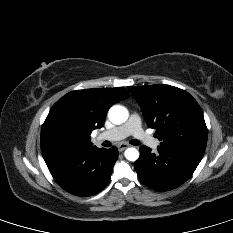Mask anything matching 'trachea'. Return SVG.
I'll list each match as a JSON object with an SVG mask.
<instances>
[{
  "label": "trachea",
  "instance_id": "trachea-1",
  "mask_svg": "<svg viewBox=\"0 0 233 233\" xmlns=\"http://www.w3.org/2000/svg\"><path fill=\"white\" fill-rule=\"evenodd\" d=\"M105 143H106L105 144L106 146H110L111 145L110 142H108V141H106ZM130 144L137 146V145L140 144V142L138 140H136V139H132V140H130Z\"/></svg>",
  "mask_w": 233,
  "mask_h": 233
}]
</instances>
